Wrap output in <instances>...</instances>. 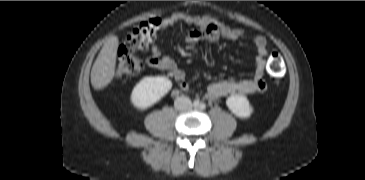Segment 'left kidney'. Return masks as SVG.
I'll list each match as a JSON object with an SVG mask.
<instances>
[{"label":"left kidney","instance_id":"left-kidney-1","mask_svg":"<svg viewBox=\"0 0 365 180\" xmlns=\"http://www.w3.org/2000/svg\"><path fill=\"white\" fill-rule=\"evenodd\" d=\"M226 105L233 114L240 118H248L253 113V107L242 95H231L227 98Z\"/></svg>","mask_w":365,"mask_h":180}]
</instances>
